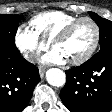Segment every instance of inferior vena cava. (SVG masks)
<instances>
[{"label": "inferior vena cava", "instance_id": "1", "mask_svg": "<svg viewBox=\"0 0 112 112\" xmlns=\"http://www.w3.org/2000/svg\"><path fill=\"white\" fill-rule=\"evenodd\" d=\"M27 59L32 61L34 58H38L37 53H33L31 55H26Z\"/></svg>", "mask_w": 112, "mask_h": 112}]
</instances>
